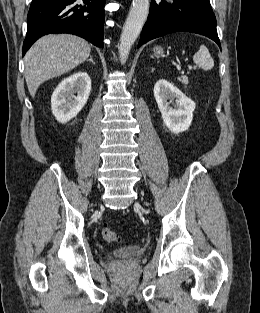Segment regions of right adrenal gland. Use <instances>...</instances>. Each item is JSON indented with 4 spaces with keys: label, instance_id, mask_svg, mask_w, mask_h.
<instances>
[{
    "label": "right adrenal gland",
    "instance_id": "right-adrenal-gland-1",
    "mask_svg": "<svg viewBox=\"0 0 260 313\" xmlns=\"http://www.w3.org/2000/svg\"><path fill=\"white\" fill-rule=\"evenodd\" d=\"M90 61L91 63L95 64L94 60H93V56L91 55L90 58L87 60Z\"/></svg>",
    "mask_w": 260,
    "mask_h": 313
}]
</instances>
